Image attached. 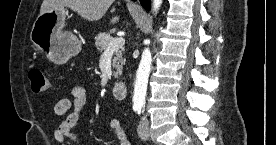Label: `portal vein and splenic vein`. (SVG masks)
Masks as SVG:
<instances>
[{"mask_svg": "<svg viewBox=\"0 0 276 145\" xmlns=\"http://www.w3.org/2000/svg\"><path fill=\"white\" fill-rule=\"evenodd\" d=\"M124 44H125L124 38H122V37H117V38L113 39V40L109 43V45H108L106 51H115V50H117V49L122 48V47L124 46Z\"/></svg>", "mask_w": 276, "mask_h": 145, "instance_id": "1", "label": "portal vein and splenic vein"}]
</instances>
